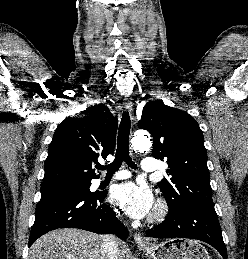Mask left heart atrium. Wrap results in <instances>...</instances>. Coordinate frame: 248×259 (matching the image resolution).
<instances>
[{
  "label": "left heart atrium",
  "mask_w": 248,
  "mask_h": 259,
  "mask_svg": "<svg viewBox=\"0 0 248 259\" xmlns=\"http://www.w3.org/2000/svg\"><path fill=\"white\" fill-rule=\"evenodd\" d=\"M111 200L134 218H143L153 207V195L149 189L135 183H124L115 186Z\"/></svg>",
  "instance_id": "left-heart-atrium-1"
}]
</instances>
